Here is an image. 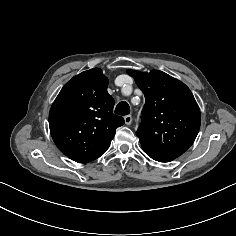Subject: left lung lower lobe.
<instances>
[{
	"label": "left lung lower lobe",
	"instance_id": "0a47b994",
	"mask_svg": "<svg viewBox=\"0 0 236 236\" xmlns=\"http://www.w3.org/2000/svg\"><path fill=\"white\" fill-rule=\"evenodd\" d=\"M142 149L149 157L159 162H169L181 155L180 153L161 152V151H154V150L145 149V148H142Z\"/></svg>",
	"mask_w": 236,
	"mask_h": 236
}]
</instances>
